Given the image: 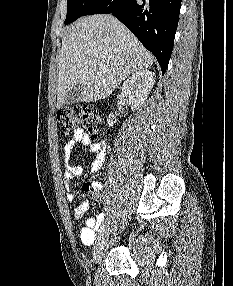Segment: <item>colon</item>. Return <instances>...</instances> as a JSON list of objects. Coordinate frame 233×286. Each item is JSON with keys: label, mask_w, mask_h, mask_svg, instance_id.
Masks as SVG:
<instances>
[{"label": "colon", "mask_w": 233, "mask_h": 286, "mask_svg": "<svg viewBox=\"0 0 233 286\" xmlns=\"http://www.w3.org/2000/svg\"><path fill=\"white\" fill-rule=\"evenodd\" d=\"M57 119L66 134L71 133L76 127H82L92 138L98 134L101 124L99 114L90 107H75L58 111ZM99 186L97 183H87L83 189L87 192H94Z\"/></svg>", "instance_id": "1"}]
</instances>
